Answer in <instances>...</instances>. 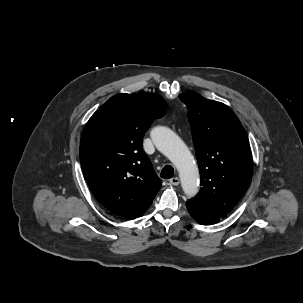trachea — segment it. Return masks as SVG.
I'll use <instances>...</instances> for the list:
<instances>
[{
	"mask_svg": "<svg viewBox=\"0 0 303 303\" xmlns=\"http://www.w3.org/2000/svg\"><path fill=\"white\" fill-rule=\"evenodd\" d=\"M174 175V168L171 165H166L161 171V177L170 179Z\"/></svg>",
	"mask_w": 303,
	"mask_h": 303,
	"instance_id": "1",
	"label": "trachea"
}]
</instances>
